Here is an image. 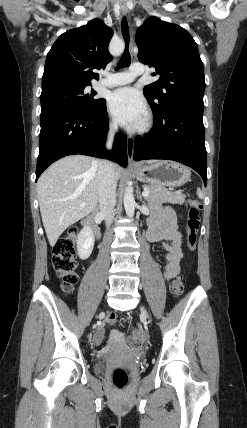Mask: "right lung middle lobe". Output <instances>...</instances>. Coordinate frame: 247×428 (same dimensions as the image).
Instances as JSON below:
<instances>
[{
    "label": "right lung middle lobe",
    "mask_w": 247,
    "mask_h": 428,
    "mask_svg": "<svg viewBox=\"0 0 247 428\" xmlns=\"http://www.w3.org/2000/svg\"><path fill=\"white\" fill-rule=\"evenodd\" d=\"M95 91L87 86H62L41 93V113L66 109L82 114H93L105 104V99H95Z\"/></svg>",
    "instance_id": "1"
}]
</instances>
